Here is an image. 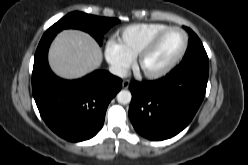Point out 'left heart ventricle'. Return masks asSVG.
<instances>
[{
  "label": "left heart ventricle",
  "mask_w": 248,
  "mask_h": 165,
  "mask_svg": "<svg viewBox=\"0 0 248 165\" xmlns=\"http://www.w3.org/2000/svg\"><path fill=\"white\" fill-rule=\"evenodd\" d=\"M183 35L179 31H171L165 34L147 54L140 68L143 71H153L167 64L181 49Z\"/></svg>",
  "instance_id": "left-heart-ventricle-1"
}]
</instances>
